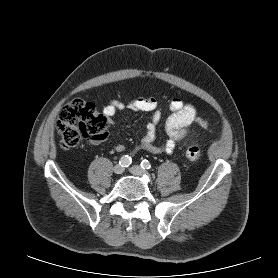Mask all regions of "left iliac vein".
Instances as JSON below:
<instances>
[{
  "label": "left iliac vein",
  "instance_id": "1",
  "mask_svg": "<svg viewBox=\"0 0 278 278\" xmlns=\"http://www.w3.org/2000/svg\"><path fill=\"white\" fill-rule=\"evenodd\" d=\"M130 172L133 174V175H136V176H143V175H147V172L142 169L140 166L138 165H134L130 168Z\"/></svg>",
  "mask_w": 278,
  "mask_h": 278
}]
</instances>
